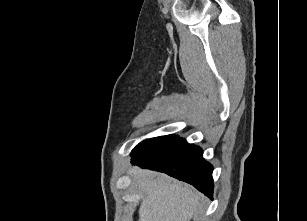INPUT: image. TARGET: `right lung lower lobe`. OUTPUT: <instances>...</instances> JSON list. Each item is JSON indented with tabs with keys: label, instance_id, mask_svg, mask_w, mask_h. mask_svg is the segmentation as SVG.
<instances>
[{
	"label": "right lung lower lobe",
	"instance_id": "1",
	"mask_svg": "<svg viewBox=\"0 0 307 221\" xmlns=\"http://www.w3.org/2000/svg\"><path fill=\"white\" fill-rule=\"evenodd\" d=\"M132 163L164 172L192 184L209 198L213 196V167L203 158L202 150L177 138L146 151L132 152Z\"/></svg>",
	"mask_w": 307,
	"mask_h": 221
}]
</instances>
